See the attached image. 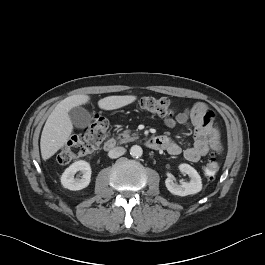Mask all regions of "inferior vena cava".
<instances>
[{"mask_svg": "<svg viewBox=\"0 0 265 265\" xmlns=\"http://www.w3.org/2000/svg\"><path fill=\"white\" fill-rule=\"evenodd\" d=\"M125 148L124 147H115L113 149H111L108 153V156L110 158H118L120 156H122L125 153Z\"/></svg>", "mask_w": 265, "mask_h": 265, "instance_id": "obj_1", "label": "inferior vena cava"}]
</instances>
